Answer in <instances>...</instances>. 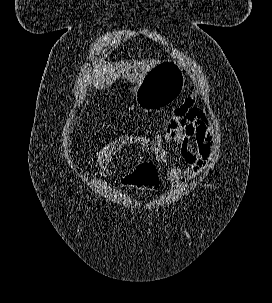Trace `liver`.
<instances>
[{
  "instance_id": "liver-1",
  "label": "liver",
  "mask_w": 272,
  "mask_h": 303,
  "mask_svg": "<svg viewBox=\"0 0 272 303\" xmlns=\"http://www.w3.org/2000/svg\"><path fill=\"white\" fill-rule=\"evenodd\" d=\"M159 63L158 59L134 61L133 63L129 61L100 62L92 72L93 85L97 89H106L120 77H124L132 83H139Z\"/></svg>"
}]
</instances>
